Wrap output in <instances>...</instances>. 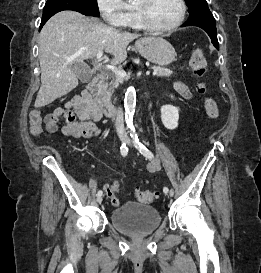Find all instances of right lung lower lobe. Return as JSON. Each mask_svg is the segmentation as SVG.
<instances>
[{
    "label": "right lung lower lobe",
    "mask_w": 261,
    "mask_h": 273,
    "mask_svg": "<svg viewBox=\"0 0 261 273\" xmlns=\"http://www.w3.org/2000/svg\"><path fill=\"white\" fill-rule=\"evenodd\" d=\"M70 10H73V11H77V12H80L84 15H87V16H95L97 17V15L91 13L87 8L86 6L84 5V3L80 0H76L75 3H72L71 6H70ZM51 16H43L42 17V21H41V24H40V29L42 28V26L46 23V21L50 18Z\"/></svg>",
    "instance_id": "98d812e1"
}]
</instances>
